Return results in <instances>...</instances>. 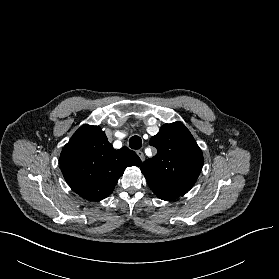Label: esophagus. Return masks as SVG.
Segmentation results:
<instances>
[{
  "mask_svg": "<svg viewBox=\"0 0 279 279\" xmlns=\"http://www.w3.org/2000/svg\"><path fill=\"white\" fill-rule=\"evenodd\" d=\"M138 156L140 157L141 161L143 162L145 160V155L141 150L137 151Z\"/></svg>",
  "mask_w": 279,
  "mask_h": 279,
  "instance_id": "esophagus-1",
  "label": "esophagus"
}]
</instances>
